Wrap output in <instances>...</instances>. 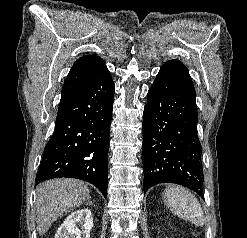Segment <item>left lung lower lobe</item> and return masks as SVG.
I'll list each match as a JSON object with an SVG mask.
<instances>
[{"label":"left lung lower lobe","mask_w":247,"mask_h":238,"mask_svg":"<svg viewBox=\"0 0 247 238\" xmlns=\"http://www.w3.org/2000/svg\"><path fill=\"white\" fill-rule=\"evenodd\" d=\"M147 96L142 126L144 191L169 182L202 196L195 88L186 66L179 60L167 61Z\"/></svg>","instance_id":"obj_1"}]
</instances>
